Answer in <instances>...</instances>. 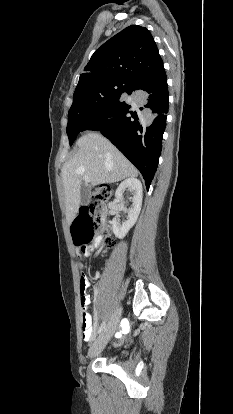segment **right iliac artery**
<instances>
[{"label":"right iliac artery","instance_id":"82829eb1","mask_svg":"<svg viewBox=\"0 0 233 414\" xmlns=\"http://www.w3.org/2000/svg\"><path fill=\"white\" fill-rule=\"evenodd\" d=\"M106 327V321H104L101 326L99 327L98 333L100 334Z\"/></svg>","mask_w":233,"mask_h":414}]
</instances>
